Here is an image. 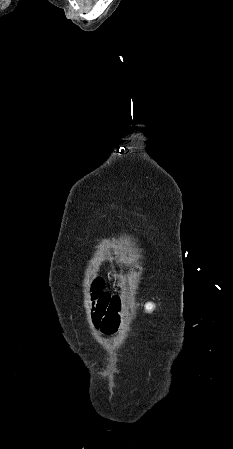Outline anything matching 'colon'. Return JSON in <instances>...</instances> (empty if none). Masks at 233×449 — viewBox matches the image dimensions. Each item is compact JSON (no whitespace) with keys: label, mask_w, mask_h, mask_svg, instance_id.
Returning a JSON list of instances; mask_svg holds the SVG:
<instances>
[{"label":"colon","mask_w":233,"mask_h":449,"mask_svg":"<svg viewBox=\"0 0 233 449\" xmlns=\"http://www.w3.org/2000/svg\"><path fill=\"white\" fill-rule=\"evenodd\" d=\"M93 295L95 299L92 311L93 322L96 328H116L117 323L124 322L125 308L123 298L118 297L116 292H104L102 278L95 277L93 280Z\"/></svg>","instance_id":"1"}]
</instances>
